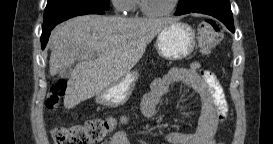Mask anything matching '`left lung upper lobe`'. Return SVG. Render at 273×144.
Instances as JSON below:
<instances>
[{
    "label": "left lung upper lobe",
    "instance_id": "left-lung-upper-lobe-1",
    "mask_svg": "<svg viewBox=\"0 0 273 144\" xmlns=\"http://www.w3.org/2000/svg\"><path fill=\"white\" fill-rule=\"evenodd\" d=\"M193 0H180L178 7H177V11H182L188 7L191 6Z\"/></svg>",
    "mask_w": 273,
    "mask_h": 144
}]
</instances>
